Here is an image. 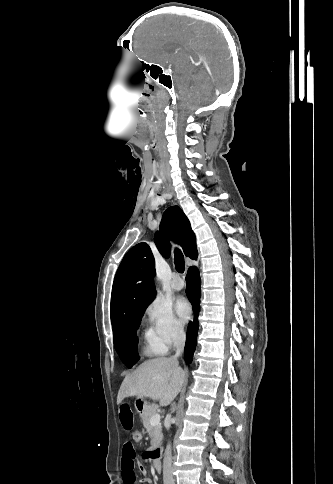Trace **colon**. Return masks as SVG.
I'll list each match as a JSON object with an SVG mask.
<instances>
[{
    "mask_svg": "<svg viewBox=\"0 0 333 484\" xmlns=\"http://www.w3.org/2000/svg\"><path fill=\"white\" fill-rule=\"evenodd\" d=\"M132 438L135 442H140L142 440V433L136 430L132 433Z\"/></svg>",
    "mask_w": 333,
    "mask_h": 484,
    "instance_id": "obj_1",
    "label": "colon"
}]
</instances>
